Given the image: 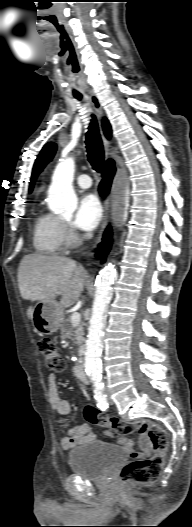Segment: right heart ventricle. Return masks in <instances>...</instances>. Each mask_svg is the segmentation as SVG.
Instances as JSON below:
<instances>
[{
  "mask_svg": "<svg viewBox=\"0 0 192 527\" xmlns=\"http://www.w3.org/2000/svg\"><path fill=\"white\" fill-rule=\"evenodd\" d=\"M33 246L40 254H58L64 246V226L59 216L39 210L33 224Z\"/></svg>",
  "mask_w": 192,
  "mask_h": 527,
  "instance_id": "1",
  "label": "right heart ventricle"
}]
</instances>
